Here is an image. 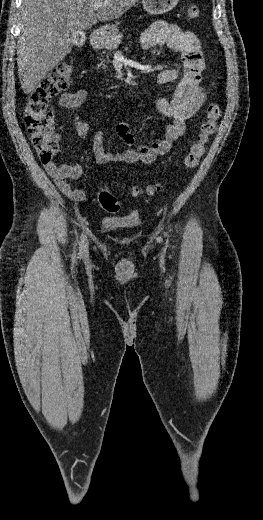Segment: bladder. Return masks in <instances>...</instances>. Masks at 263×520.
Returning <instances> with one entry per match:
<instances>
[{"label": "bladder", "instance_id": "1", "mask_svg": "<svg viewBox=\"0 0 263 520\" xmlns=\"http://www.w3.org/2000/svg\"><path fill=\"white\" fill-rule=\"evenodd\" d=\"M141 224L138 213L132 212L126 215L109 216L101 221L102 228L107 231H123L136 229Z\"/></svg>", "mask_w": 263, "mask_h": 520}]
</instances>
